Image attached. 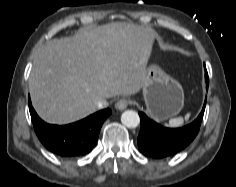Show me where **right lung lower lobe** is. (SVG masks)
<instances>
[{
    "label": "right lung lower lobe",
    "mask_w": 236,
    "mask_h": 187,
    "mask_svg": "<svg viewBox=\"0 0 236 187\" xmlns=\"http://www.w3.org/2000/svg\"><path fill=\"white\" fill-rule=\"evenodd\" d=\"M29 111L34 130L41 143L63 158H75L88 154L96 145L101 126L112 113L107 108L87 118L68 125H50L39 118L29 99Z\"/></svg>",
    "instance_id": "1"
}]
</instances>
